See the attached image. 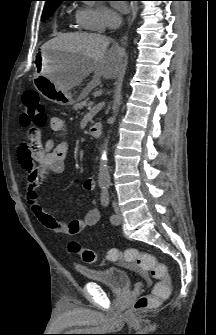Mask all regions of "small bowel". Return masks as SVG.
Segmentation results:
<instances>
[{"instance_id":"obj_1","label":"small bowel","mask_w":216,"mask_h":335,"mask_svg":"<svg viewBox=\"0 0 216 335\" xmlns=\"http://www.w3.org/2000/svg\"><path fill=\"white\" fill-rule=\"evenodd\" d=\"M50 128L64 135L65 120L57 116L52 117ZM26 134L31 139L29 143L19 147L18 160L26 176L25 200L36 218L55 234L67 236L77 235L96 225L100 220V212L95 207L89 208L83 218L69 222L57 220L42 208L37 189L50 175L64 172L69 144L65 138L57 143L52 139L42 143L43 132L39 131L38 124H29ZM83 185L86 190H93L94 177H87Z\"/></svg>"}]
</instances>
